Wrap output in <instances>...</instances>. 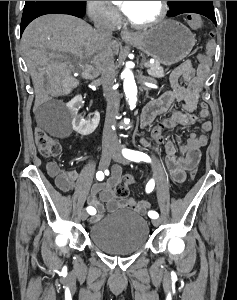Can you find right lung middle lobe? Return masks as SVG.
Listing matches in <instances>:
<instances>
[{"mask_svg": "<svg viewBox=\"0 0 237 300\" xmlns=\"http://www.w3.org/2000/svg\"><path fill=\"white\" fill-rule=\"evenodd\" d=\"M85 1H25L22 17H26L36 11L52 6L83 4Z\"/></svg>", "mask_w": 237, "mask_h": 300, "instance_id": "dd1d6c3e", "label": "right lung middle lobe"}]
</instances>
